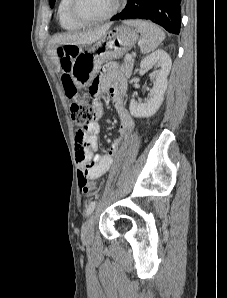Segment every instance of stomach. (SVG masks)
<instances>
[{
    "label": "stomach",
    "instance_id": "0dacf381",
    "mask_svg": "<svg viewBox=\"0 0 227 298\" xmlns=\"http://www.w3.org/2000/svg\"><path fill=\"white\" fill-rule=\"evenodd\" d=\"M137 40L138 34L133 28L120 25L106 33L94 45L81 49L71 65L73 82L78 87L87 86L104 62L120 58Z\"/></svg>",
    "mask_w": 227,
    "mask_h": 298
}]
</instances>
